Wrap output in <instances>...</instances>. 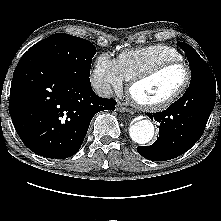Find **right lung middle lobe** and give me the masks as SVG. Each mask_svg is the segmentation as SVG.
I'll use <instances>...</instances> for the list:
<instances>
[{"label": "right lung middle lobe", "instance_id": "obj_1", "mask_svg": "<svg viewBox=\"0 0 221 221\" xmlns=\"http://www.w3.org/2000/svg\"><path fill=\"white\" fill-rule=\"evenodd\" d=\"M26 53H34L50 59L78 74L90 76L95 46L88 40L57 33L38 42Z\"/></svg>", "mask_w": 221, "mask_h": 221}]
</instances>
